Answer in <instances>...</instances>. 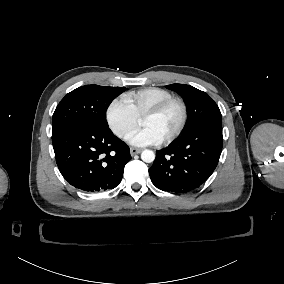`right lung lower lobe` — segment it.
<instances>
[{"label":"right lung lower lobe","mask_w":284,"mask_h":284,"mask_svg":"<svg viewBox=\"0 0 284 284\" xmlns=\"http://www.w3.org/2000/svg\"><path fill=\"white\" fill-rule=\"evenodd\" d=\"M52 142L63 177L89 193L118 186L131 159L129 147L109 128L72 125L53 135Z\"/></svg>","instance_id":"1"}]
</instances>
